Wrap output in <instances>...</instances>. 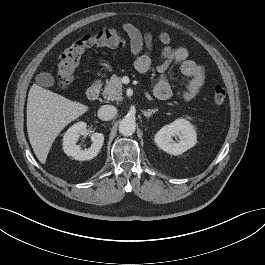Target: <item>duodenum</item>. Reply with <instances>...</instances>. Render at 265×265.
Here are the masks:
<instances>
[{"label":"duodenum","mask_w":265,"mask_h":265,"mask_svg":"<svg viewBox=\"0 0 265 265\" xmlns=\"http://www.w3.org/2000/svg\"><path fill=\"white\" fill-rule=\"evenodd\" d=\"M101 90V83L100 82H94L89 86L87 89V98L90 100H95L98 98Z\"/></svg>","instance_id":"410a0bca"}]
</instances>
